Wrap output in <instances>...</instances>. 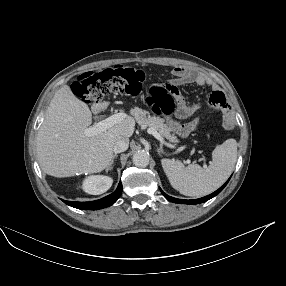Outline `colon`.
Listing matches in <instances>:
<instances>
[{"label": "colon", "mask_w": 286, "mask_h": 286, "mask_svg": "<svg viewBox=\"0 0 286 286\" xmlns=\"http://www.w3.org/2000/svg\"><path fill=\"white\" fill-rule=\"evenodd\" d=\"M144 82L143 71L129 66H115L79 75L73 83V91L85 102H99L113 94L138 95L143 90ZM148 92L146 101L160 113L166 128L178 137H192L201 119H195L189 125L181 124L176 119L173 114L174 89L170 85L153 84L148 87Z\"/></svg>", "instance_id": "colon-1"}]
</instances>
